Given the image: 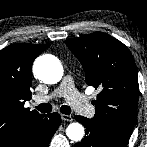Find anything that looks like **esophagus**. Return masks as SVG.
Masks as SVG:
<instances>
[{
    "label": "esophagus",
    "instance_id": "esophagus-1",
    "mask_svg": "<svg viewBox=\"0 0 147 147\" xmlns=\"http://www.w3.org/2000/svg\"><path fill=\"white\" fill-rule=\"evenodd\" d=\"M61 119L64 121H68V122H72L73 121V117L70 115H65V114H61Z\"/></svg>",
    "mask_w": 147,
    "mask_h": 147
}]
</instances>
